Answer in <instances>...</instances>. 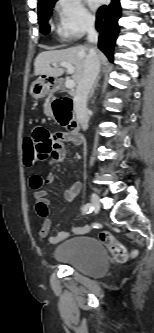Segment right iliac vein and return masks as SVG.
I'll return each instance as SVG.
<instances>
[{
  "instance_id": "right-iliac-vein-1",
  "label": "right iliac vein",
  "mask_w": 154,
  "mask_h": 333,
  "mask_svg": "<svg viewBox=\"0 0 154 333\" xmlns=\"http://www.w3.org/2000/svg\"><path fill=\"white\" fill-rule=\"evenodd\" d=\"M91 202H92V206L94 208V211L96 213H98L100 211L101 204H100V199H99V197L96 193H93L91 195Z\"/></svg>"
}]
</instances>
